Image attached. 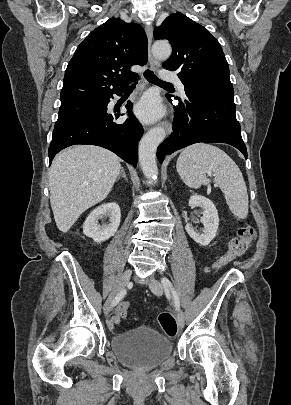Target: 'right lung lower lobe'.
I'll return each mask as SVG.
<instances>
[{"mask_svg":"<svg viewBox=\"0 0 291 405\" xmlns=\"http://www.w3.org/2000/svg\"><path fill=\"white\" fill-rule=\"evenodd\" d=\"M123 90L113 94L121 95ZM113 94L104 99L105 106L102 110L54 128L48 152L50 163L60 150L68 146L90 144L104 147L127 163L137 166V143L143 134V128L130 113V101L125 105L130 118L121 124L114 122L121 114L107 112V105Z\"/></svg>","mask_w":291,"mask_h":405,"instance_id":"obj_1","label":"right lung lower lobe"}]
</instances>
